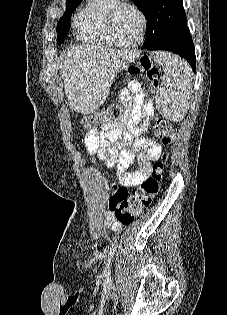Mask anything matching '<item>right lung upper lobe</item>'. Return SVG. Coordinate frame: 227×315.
Listing matches in <instances>:
<instances>
[{
  "label": "right lung upper lobe",
  "instance_id": "cb5924a9",
  "mask_svg": "<svg viewBox=\"0 0 227 315\" xmlns=\"http://www.w3.org/2000/svg\"><path fill=\"white\" fill-rule=\"evenodd\" d=\"M70 1H78V0H70Z\"/></svg>",
  "mask_w": 227,
  "mask_h": 315
}]
</instances>
